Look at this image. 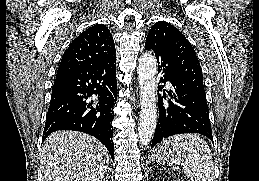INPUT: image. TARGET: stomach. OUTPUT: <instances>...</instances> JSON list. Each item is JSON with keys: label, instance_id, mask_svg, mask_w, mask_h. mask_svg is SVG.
Returning a JSON list of instances; mask_svg holds the SVG:
<instances>
[{"label": "stomach", "instance_id": "stomach-1", "mask_svg": "<svg viewBox=\"0 0 259 181\" xmlns=\"http://www.w3.org/2000/svg\"><path fill=\"white\" fill-rule=\"evenodd\" d=\"M176 150L172 146H159L152 153V160L157 163H169L176 157Z\"/></svg>", "mask_w": 259, "mask_h": 181}]
</instances>
